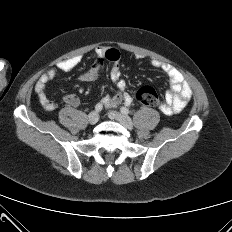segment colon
<instances>
[{
	"label": "colon",
	"instance_id": "colon-1",
	"mask_svg": "<svg viewBox=\"0 0 232 232\" xmlns=\"http://www.w3.org/2000/svg\"><path fill=\"white\" fill-rule=\"evenodd\" d=\"M135 98L146 106H155L158 103V94L151 86L139 88L135 94Z\"/></svg>",
	"mask_w": 232,
	"mask_h": 232
}]
</instances>
